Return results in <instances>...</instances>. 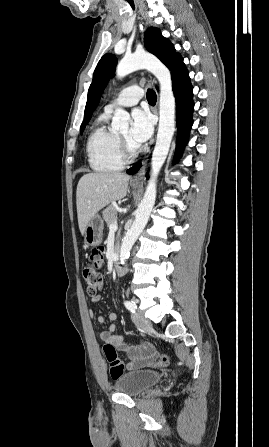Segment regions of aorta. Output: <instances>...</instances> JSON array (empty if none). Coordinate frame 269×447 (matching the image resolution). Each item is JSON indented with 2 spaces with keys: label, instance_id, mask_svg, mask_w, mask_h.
<instances>
[{
  "label": "aorta",
  "instance_id": "aorta-1",
  "mask_svg": "<svg viewBox=\"0 0 269 447\" xmlns=\"http://www.w3.org/2000/svg\"><path fill=\"white\" fill-rule=\"evenodd\" d=\"M136 70H148L156 76L160 84L159 98V126L156 146L152 154L151 178L147 184L144 198L136 212L135 220L122 239L120 247V261H126L133 243L149 220L156 200L157 176L169 154L170 144L175 132V98L172 92L171 74L152 54H131L124 56L116 68V76L121 80ZM131 118L122 108H116L112 118V130H129Z\"/></svg>",
  "mask_w": 269,
  "mask_h": 447
}]
</instances>
